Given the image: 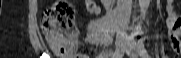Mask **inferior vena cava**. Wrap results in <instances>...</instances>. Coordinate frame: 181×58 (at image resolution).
Listing matches in <instances>:
<instances>
[{"mask_svg": "<svg viewBox=\"0 0 181 58\" xmlns=\"http://www.w3.org/2000/svg\"><path fill=\"white\" fill-rule=\"evenodd\" d=\"M119 10L121 22L123 24V28L125 29L128 25L130 15H131V6L132 0H118Z\"/></svg>", "mask_w": 181, "mask_h": 58, "instance_id": "inferior-vena-cava-1", "label": "inferior vena cava"}]
</instances>
